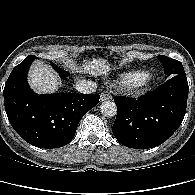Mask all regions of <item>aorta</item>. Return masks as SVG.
<instances>
[{
    "instance_id": "1",
    "label": "aorta",
    "mask_w": 195,
    "mask_h": 195,
    "mask_svg": "<svg viewBox=\"0 0 195 195\" xmlns=\"http://www.w3.org/2000/svg\"><path fill=\"white\" fill-rule=\"evenodd\" d=\"M100 112L105 117H113L117 113V106L112 101H104L100 105Z\"/></svg>"
}]
</instances>
